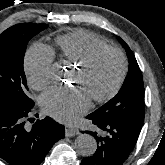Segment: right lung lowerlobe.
Instances as JSON below:
<instances>
[{
	"label": "right lung lower lobe",
	"instance_id": "98d812e1",
	"mask_svg": "<svg viewBox=\"0 0 165 165\" xmlns=\"http://www.w3.org/2000/svg\"><path fill=\"white\" fill-rule=\"evenodd\" d=\"M32 108L0 103V157L10 165H39L54 143L65 137L64 126L50 117L27 129Z\"/></svg>",
	"mask_w": 165,
	"mask_h": 165
}]
</instances>
